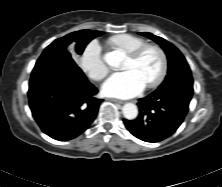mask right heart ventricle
Here are the masks:
<instances>
[{"mask_svg":"<svg viewBox=\"0 0 222 187\" xmlns=\"http://www.w3.org/2000/svg\"><path fill=\"white\" fill-rule=\"evenodd\" d=\"M107 42L113 48L125 54L133 52L135 49L146 43L143 38L131 34L114 35L110 37Z\"/></svg>","mask_w":222,"mask_h":187,"instance_id":"e07e8e85","label":"right heart ventricle"}]
</instances>
